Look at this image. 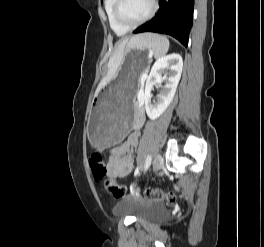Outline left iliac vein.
Returning <instances> with one entry per match:
<instances>
[{
    "label": "left iliac vein",
    "instance_id": "left-iliac-vein-1",
    "mask_svg": "<svg viewBox=\"0 0 264 247\" xmlns=\"http://www.w3.org/2000/svg\"><path fill=\"white\" fill-rule=\"evenodd\" d=\"M163 166V158L160 154H157L153 160L152 171L157 173Z\"/></svg>",
    "mask_w": 264,
    "mask_h": 247
}]
</instances>
